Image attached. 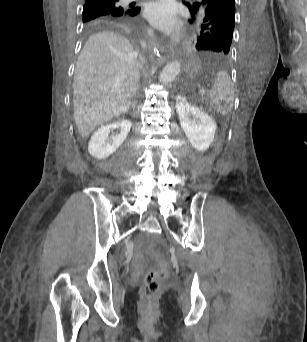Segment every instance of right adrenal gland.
Listing matches in <instances>:
<instances>
[{
  "instance_id": "right-adrenal-gland-1",
  "label": "right adrenal gland",
  "mask_w": 307,
  "mask_h": 342,
  "mask_svg": "<svg viewBox=\"0 0 307 342\" xmlns=\"http://www.w3.org/2000/svg\"><path fill=\"white\" fill-rule=\"evenodd\" d=\"M132 108H136V102H131Z\"/></svg>"
}]
</instances>
